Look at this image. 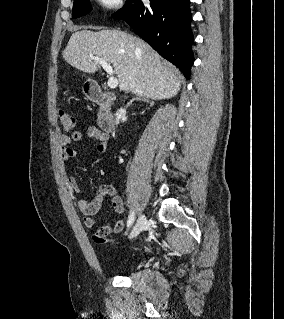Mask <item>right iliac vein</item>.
<instances>
[{
	"instance_id": "obj_1",
	"label": "right iliac vein",
	"mask_w": 284,
	"mask_h": 319,
	"mask_svg": "<svg viewBox=\"0 0 284 319\" xmlns=\"http://www.w3.org/2000/svg\"><path fill=\"white\" fill-rule=\"evenodd\" d=\"M146 223H147L146 216L144 214L140 215L129 235V238L132 239V238H135L137 235H139L140 232L145 228Z\"/></svg>"
}]
</instances>
